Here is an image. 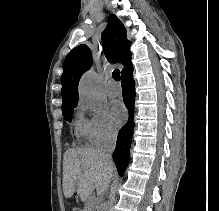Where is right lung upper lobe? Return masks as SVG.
I'll use <instances>...</instances> for the list:
<instances>
[{"mask_svg":"<svg viewBox=\"0 0 219 211\" xmlns=\"http://www.w3.org/2000/svg\"><path fill=\"white\" fill-rule=\"evenodd\" d=\"M102 46L109 62L121 63L124 68L132 64L126 29L114 14L109 17L107 27L102 33ZM91 64V52L86 45L81 44L69 52L61 76L62 105L78 102L79 80Z\"/></svg>","mask_w":219,"mask_h":211,"instance_id":"1","label":"right lung upper lobe"}]
</instances>
